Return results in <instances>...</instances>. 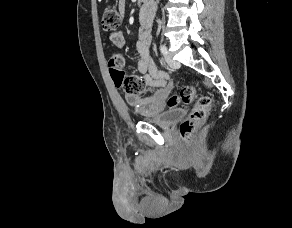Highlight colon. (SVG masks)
<instances>
[{"label":"colon","instance_id":"colon-1","mask_svg":"<svg viewBox=\"0 0 292 228\" xmlns=\"http://www.w3.org/2000/svg\"><path fill=\"white\" fill-rule=\"evenodd\" d=\"M102 27L105 31L114 32L121 25V16L114 7H106L102 14ZM123 57L120 54H113L109 58L110 75L117 87L126 95L136 96L142 88L143 82L136 75H126L123 71ZM196 101L193 110L188 117L181 123L179 132L185 142H190L197 128L206 119L211 99L208 96H198L196 89L192 86L183 87L178 94L172 95L168 99V106L174 108L179 104H191Z\"/></svg>","mask_w":292,"mask_h":228}]
</instances>
